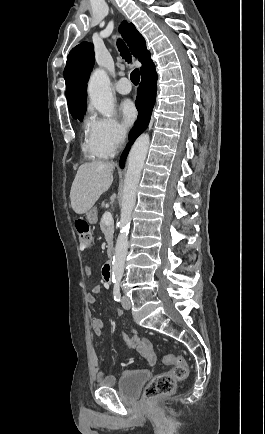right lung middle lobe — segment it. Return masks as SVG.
I'll return each instance as SVG.
<instances>
[{
	"mask_svg": "<svg viewBox=\"0 0 265 434\" xmlns=\"http://www.w3.org/2000/svg\"><path fill=\"white\" fill-rule=\"evenodd\" d=\"M70 113L74 119L83 120V116L86 111L87 101H78L71 104H68Z\"/></svg>",
	"mask_w": 265,
	"mask_h": 434,
	"instance_id": "obj_1",
	"label": "right lung middle lobe"
}]
</instances>
